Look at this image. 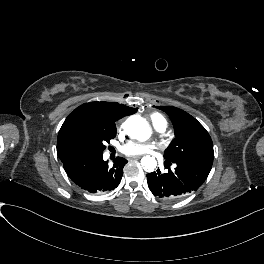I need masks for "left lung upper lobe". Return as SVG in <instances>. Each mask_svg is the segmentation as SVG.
<instances>
[{
  "label": "left lung upper lobe",
  "mask_w": 264,
  "mask_h": 264,
  "mask_svg": "<svg viewBox=\"0 0 264 264\" xmlns=\"http://www.w3.org/2000/svg\"><path fill=\"white\" fill-rule=\"evenodd\" d=\"M173 121L174 138L165 151L164 170L153 172L185 193L206 180L213 162V144L205 128L191 115L171 106H160Z\"/></svg>",
  "instance_id": "obj_1"
}]
</instances>
